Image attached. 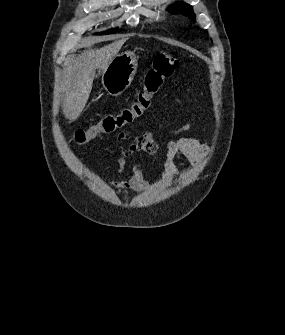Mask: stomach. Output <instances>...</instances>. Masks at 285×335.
<instances>
[{
    "label": "stomach",
    "instance_id": "1",
    "mask_svg": "<svg viewBox=\"0 0 285 335\" xmlns=\"http://www.w3.org/2000/svg\"><path fill=\"white\" fill-rule=\"evenodd\" d=\"M137 66V58L133 52L118 54L102 74L103 88L110 96H120L130 86Z\"/></svg>",
    "mask_w": 285,
    "mask_h": 335
}]
</instances>
